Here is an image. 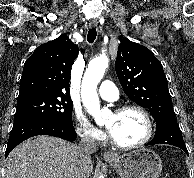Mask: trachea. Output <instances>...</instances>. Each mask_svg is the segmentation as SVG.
Returning <instances> with one entry per match:
<instances>
[{"label":"trachea","instance_id":"obj_1","mask_svg":"<svg viewBox=\"0 0 194 178\" xmlns=\"http://www.w3.org/2000/svg\"><path fill=\"white\" fill-rule=\"evenodd\" d=\"M96 36H97L96 28H91V29H89L88 35H87V41H88L89 43H93L94 40L96 39Z\"/></svg>","mask_w":194,"mask_h":178}]
</instances>
